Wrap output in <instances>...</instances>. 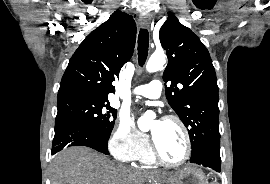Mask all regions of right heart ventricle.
<instances>
[{"label":"right heart ventricle","instance_id":"right-heart-ventricle-1","mask_svg":"<svg viewBox=\"0 0 270 184\" xmlns=\"http://www.w3.org/2000/svg\"><path fill=\"white\" fill-rule=\"evenodd\" d=\"M143 164H153L155 163V159L152 155L151 149L146 148L141 155L138 157V159Z\"/></svg>","mask_w":270,"mask_h":184}]
</instances>
